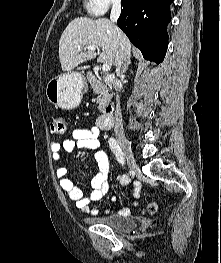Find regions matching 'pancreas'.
Listing matches in <instances>:
<instances>
[{
	"instance_id": "obj_1",
	"label": "pancreas",
	"mask_w": 221,
	"mask_h": 263,
	"mask_svg": "<svg viewBox=\"0 0 221 263\" xmlns=\"http://www.w3.org/2000/svg\"><path fill=\"white\" fill-rule=\"evenodd\" d=\"M87 78L93 88L94 93L97 94L98 110L103 111L106 104L112 98L107 84L102 81L101 77H95V75H93L91 72L87 73Z\"/></svg>"
}]
</instances>
